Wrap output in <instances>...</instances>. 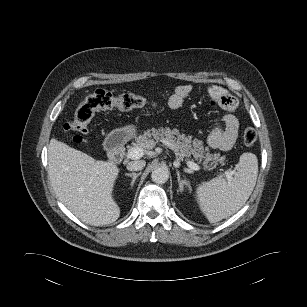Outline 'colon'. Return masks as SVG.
<instances>
[{
    "label": "colon",
    "instance_id": "colon-1",
    "mask_svg": "<svg viewBox=\"0 0 307 307\" xmlns=\"http://www.w3.org/2000/svg\"><path fill=\"white\" fill-rule=\"evenodd\" d=\"M146 106L155 107L156 103L150 102L140 94L131 92L115 95L106 90H96L82 100L74 110L72 118L64 124V129L72 133L75 143H82L88 132V126L92 118L99 111L108 109L132 110ZM257 140V132L247 128L243 132V141L246 145H252Z\"/></svg>",
    "mask_w": 307,
    "mask_h": 307
}]
</instances>
